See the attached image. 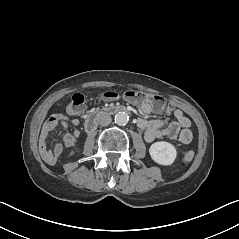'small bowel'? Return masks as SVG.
Instances as JSON below:
<instances>
[{
  "label": "small bowel",
  "mask_w": 239,
  "mask_h": 239,
  "mask_svg": "<svg viewBox=\"0 0 239 239\" xmlns=\"http://www.w3.org/2000/svg\"><path fill=\"white\" fill-rule=\"evenodd\" d=\"M140 110L144 114L158 111L148 102L143 103L140 106ZM167 112H171V109H168ZM172 113L175 117V121L168 126H165V122L161 119L147 120L145 118H140L138 120V126L144 130V139L147 142H152L155 139L169 138L178 140L183 145H187L192 141L193 134L190 130V119L187 118L184 112L179 108L174 109ZM79 123L78 119L69 118L63 114H54L44 123L39 137V151L42 159L47 164L54 165L63 152V145L61 143H56L52 149L48 148L47 143L51 132L58 125L67 128L69 125L78 126ZM79 135L80 132L78 129H75L72 133H65L63 135L64 145L67 148L73 147Z\"/></svg>",
  "instance_id": "small-bowel-1"
}]
</instances>
